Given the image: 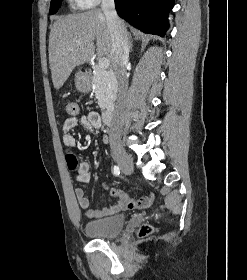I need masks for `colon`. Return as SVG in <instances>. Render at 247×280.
Masks as SVG:
<instances>
[{
	"label": "colon",
	"mask_w": 247,
	"mask_h": 280,
	"mask_svg": "<svg viewBox=\"0 0 247 280\" xmlns=\"http://www.w3.org/2000/svg\"><path fill=\"white\" fill-rule=\"evenodd\" d=\"M65 112L68 116H75L78 112V106L74 101H68L65 104ZM68 168L71 171H76L78 168V160L75 155L68 154L66 157ZM152 228L149 225H144L139 231V236L143 237L151 233Z\"/></svg>",
	"instance_id": "5ec220e1"
}]
</instances>
